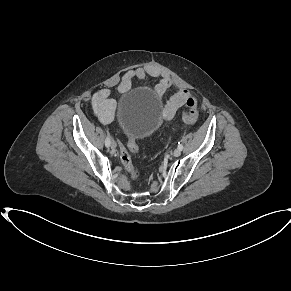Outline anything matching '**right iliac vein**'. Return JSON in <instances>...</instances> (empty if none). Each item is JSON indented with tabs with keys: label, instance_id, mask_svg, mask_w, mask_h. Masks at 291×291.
Instances as JSON below:
<instances>
[{
	"label": "right iliac vein",
	"instance_id": "obj_1",
	"mask_svg": "<svg viewBox=\"0 0 291 291\" xmlns=\"http://www.w3.org/2000/svg\"><path fill=\"white\" fill-rule=\"evenodd\" d=\"M116 142L115 141H111V143H110V147L112 148V149H116Z\"/></svg>",
	"mask_w": 291,
	"mask_h": 291
}]
</instances>
